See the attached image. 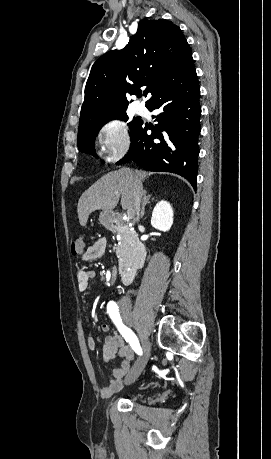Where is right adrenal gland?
Returning <instances> with one entry per match:
<instances>
[{
    "label": "right adrenal gland",
    "instance_id": "obj_1",
    "mask_svg": "<svg viewBox=\"0 0 271 459\" xmlns=\"http://www.w3.org/2000/svg\"><path fill=\"white\" fill-rule=\"evenodd\" d=\"M143 198H142V208H141V216L140 218H143L144 214H145V206L146 204H150L149 200L151 198V196H147L146 192H144V194H142Z\"/></svg>",
    "mask_w": 271,
    "mask_h": 459
}]
</instances>
